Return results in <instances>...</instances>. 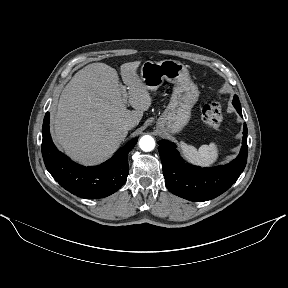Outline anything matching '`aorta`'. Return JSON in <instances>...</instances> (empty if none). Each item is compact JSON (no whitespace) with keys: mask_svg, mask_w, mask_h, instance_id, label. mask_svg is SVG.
<instances>
[{"mask_svg":"<svg viewBox=\"0 0 288 288\" xmlns=\"http://www.w3.org/2000/svg\"><path fill=\"white\" fill-rule=\"evenodd\" d=\"M139 147L145 152L152 151L155 147L154 138L152 136H149V135H145V136L141 137V139L139 141Z\"/></svg>","mask_w":288,"mask_h":288,"instance_id":"aorta-1","label":"aorta"}]
</instances>
